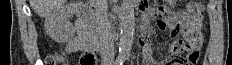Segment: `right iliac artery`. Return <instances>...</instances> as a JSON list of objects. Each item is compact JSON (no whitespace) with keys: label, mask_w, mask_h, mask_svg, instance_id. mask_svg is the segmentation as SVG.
Here are the masks:
<instances>
[{"label":"right iliac artery","mask_w":232,"mask_h":65,"mask_svg":"<svg viewBox=\"0 0 232 65\" xmlns=\"http://www.w3.org/2000/svg\"><path fill=\"white\" fill-rule=\"evenodd\" d=\"M123 63V58L122 57H118L116 62H115V65H122Z\"/></svg>","instance_id":"obj_1"}]
</instances>
